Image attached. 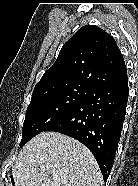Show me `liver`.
<instances>
[{"instance_id": "liver-1", "label": "liver", "mask_w": 138, "mask_h": 186, "mask_svg": "<svg viewBox=\"0 0 138 186\" xmlns=\"http://www.w3.org/2000/svg\"><path fill=\"white\" fill-rule=\"evenodd\" d=\"M15 186H102L99 166L82 143L42 132L20 151L12 168Z\"/></svg>"}]
</instances>
